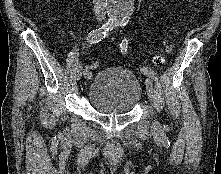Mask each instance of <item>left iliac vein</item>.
I'll return each mask as SVG.
<instances>
[{"label":"left iliac vein","instance_id":"left-iliac-vein-1","mask_svg":"<svg viewBox=\"0 0 221 174\" xmlns=\"http://www.w3.org/2000/svg\"><path fill=\"white\" fill-rule=\"evenodd\" d=\"M145 84H146V90H147L149 100L153 104L155 103V93H154V88H153V82L149 76L146 77ZM159 127H160V124L157 121H154L152 124V128L154 130H157L159 129Z\"/></svg>","mask_w":221,"mask_h":174}]
</instances>
